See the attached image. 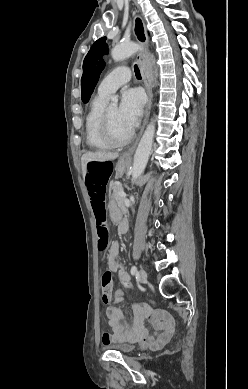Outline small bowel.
<instances>
[{
    "instance_id": "c3829d8e",
    "label": "small bowel",
    "mask_w": 248,
    "mask_h": 389,
    "mask_svg": "<svg viewBox=\"0 0 248 389\" xmlns=\"http://www.w3.org/2000/svg\"><path fill=\"white\" fill-rule=\"evenodd\" d=\"M121 224H124L126 229V224L124 222ZM118 255L119 245L115 242L109 249L107 257L108 266L116 274L120 282L123 277H129L131 281L130 275L118 261ZM123 301L124 298H114L113 296V305L106 309V316L113 334H103L102 342L104 344H112L115 341H130L140 342L144 347L154 349L162 346L170 339L174 331V323L172 317L167 312L160 310L153 311L146 305L137 303L133 305V323L132 325H128L125 322L123 310L115 306ZM146 320L156 329L154 336L150 335L145 328L144 322Z\"/></svg>"
}]
</instances>
